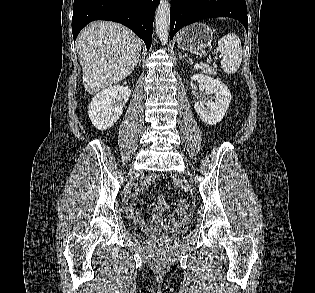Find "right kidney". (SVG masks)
Masks as SVG:
<instances>
[{
    "instance_id": "ca27d5eb",
    "label": "right kidney",
    "mask_w": 315,
    "mask_h": 293,
    "mask_svg": "<svg viewBox=\"0 0 315 293\" xmlns=\"http://www.w3.org/2000/svg\"><path fill=\"white\" fill-rule=\"evenodd\" d=\"M130 95V88L120 85L108 87L96 94L88 108L93 126L102 131L111 128L122 115ZM115 100L119 103L116 104Z\"/></svg>"
}]
</instances>
